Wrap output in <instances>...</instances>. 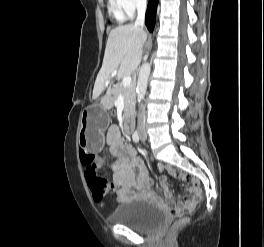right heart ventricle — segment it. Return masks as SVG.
Instances as JSON below:
<instances>
[{
    "mask_svg": "<svg viewBox=\"0 0 264 247\" xmlns=\"http://www.w3.org/2000/svg\"><path fill=\"white\" fill-rule=\"evenodd\" d=\"M110 11L119 21H123L127 17V15L118 7L115 0H110Z\"/></svg>",
    "mask_w": 264,
    "mask_h": 247,
    "instance_id": "obj_1",
    "label": "right heart ventricle"
}]
</instances>
